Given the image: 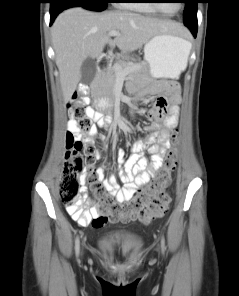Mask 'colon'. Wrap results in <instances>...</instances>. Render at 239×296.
Listing matches in <instances>:
<instances>
[{
  "mask_svg": "<svg viewBox=\"0 0 239 296\" xmlns=\"http://www.w3.org/2000/svg\"><path fill=\"white\" fill-rule=\"evenodd\" d=\"M87 108L80 101H75L69 108V117L76 125L80 135L68 132L66 136L65 160L62 165V174L59 189L62 201L73 218L79 221H89V202L86 200L84 189L80 182L84 179L90 187L91 201L96 204L99 213L98 222L115 221L121 216L130 215L143 223L161 217L169 208L171 197L166 191L169 173L178 159V151L173 147L167 153L164 169L157 175L155 181L135 193L127 203L118 202L106 192L99 171L96 168L98 154L91 139L93 125ZM171 141L174 145L179 142V135L173 132ZM84 157H83V155Z\"/></svg>",
  "mask_w": 239,
  "mask_h": 296,
  "instance_id": "colon-1",
  "label": "colon"
}]
</instances>
